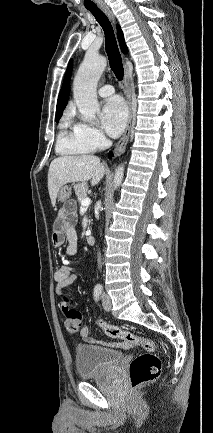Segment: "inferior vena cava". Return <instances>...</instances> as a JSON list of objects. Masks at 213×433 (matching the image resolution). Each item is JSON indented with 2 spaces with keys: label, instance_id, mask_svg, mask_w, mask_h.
Wrapping results in <instances>:
<instances>
[{
  "label": "inferior vena cava",
  "instance_id": "obj_1",
  "mask_svg": "<svg viewBox=\"0 0 213 433\" xmlns=\"http://www.w3.org/2000/svg\"><path fill=\"white\" fill-rule=\"evenodd\" d=\"M98 265H99V267L101 266V257H100V254H98Z\"/></svg>",
  "mask_w": 213,
  "mask_h": 433
}]
</instances>
